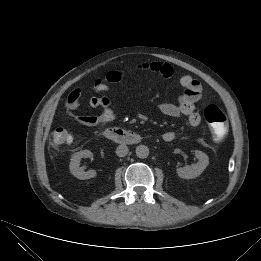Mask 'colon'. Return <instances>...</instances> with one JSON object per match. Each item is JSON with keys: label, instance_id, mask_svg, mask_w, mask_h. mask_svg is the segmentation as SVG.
I'll list each match as a JSON object with an SVG mask.
<instances>
[{"label": "colon", "instance_id": "colon-1", "mask_svg": "<svg viewBox=\"0 0 261 261\" xmlns=\"http://www.w3.org/2000/svg\"><path fill=\"white\" fill-rule=\"evenodd\" d=\"M120 79L121 73L119 71H110L107 73L105 77V80L111 83L118 82L120 81ZM204 117L210 127L214 140H222L225 137L228 130L227 118L225 114L222 112V110L216 105H208L204 110ZM71 140V134L65 128L57 127L54 129L51 139L53 146H64L69 144Z\"/></svg>", "mask_w": 261, "mask_h": 261}]
</instances>
